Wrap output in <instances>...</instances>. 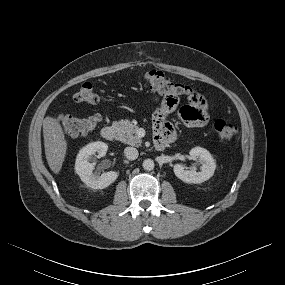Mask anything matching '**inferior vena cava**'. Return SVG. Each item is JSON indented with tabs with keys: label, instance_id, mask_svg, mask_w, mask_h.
<instances>
[{
	"label": "inferior vena cava",
	"instance_id": "602c4592",
	"mask_svg": "<svg viewBox=\"0 0 285 285\" xmlns=\"http://www.w3.org/2000/svg\"><path fill=\"white\" fill-rule=\"evenodd\" d=\"M124 154L126 158L129 160H135L138 158V155H139L138 150L133 147H126L124 149Z\"/></svg>",
	"mask_w": 285,
	"mask_h": 285
}]
</instances>
